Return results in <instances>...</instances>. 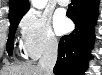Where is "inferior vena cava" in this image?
I'll use <instances>...</instances> for the list:
<instances>
[{
    "mask_svg": "<svg viewBox=\"0 0 102 75\" xmlns=\"http://www.w3.org/2000/svg\"><path fill=\"white\" fill-rule=\"evenodd\" d=\"M58 54V42L55 38H50L45 51L38 62V67L45 71L46 75H53Z\"/></svg>",
    "mask_w": 102,
    "mask_h": 75,
    "instance_id": "602c4592",
    "label": "inferior vena cava"
}]
</instances>
